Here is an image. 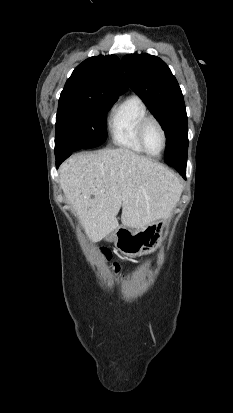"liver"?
Segmentation results:
<instances>
[{"label": "liver", "instance_id": "liver-1", "mask_svg": "<svg viewBox=\"0 0 233 413\" xmlns=\"http://www.w3.org/2000/svg\"><path fill=\"white\" fill-rule=\"evenodd\" d=\"M60 185L86 234L100 241L122 226L141 229L168 219L182 193L162 164L125 148L71 156L59 169Z\"/></svg>", "mask_w": 233, "mask_h": 413}]
</instances>
